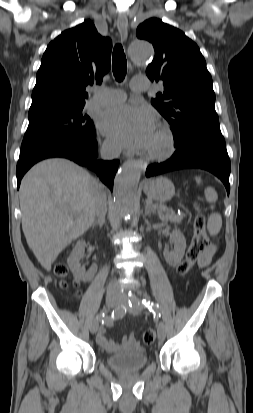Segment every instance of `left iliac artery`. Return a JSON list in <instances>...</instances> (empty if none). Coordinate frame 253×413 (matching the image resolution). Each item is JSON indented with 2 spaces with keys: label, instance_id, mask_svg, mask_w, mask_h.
<instances>
[{
  "label": "left iliac artery",
  "instance_id": "44dca946",
  "mask_svg": "<svg viewBox=\"0 0 253 413\" xmlns=\"http://www.w3.org/2000/svg\"><path fill=\"white\" fill-rule=\"evenodd\" d=\"M129 297L130 298L128 300V303L131 308L145 306L154 314V316L156 315L158 317H161V310L159 308V305L154 302H150L148 295H145L142 300L131 293H129Z\"/></svg>",
  "mask_w": 253,
  "mask_h": 413
}]
</instances>
